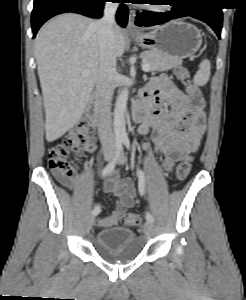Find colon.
I'll list each match as a JSON object with an SVG mask.
<instances>
[{
    "instance_id": "1",
    "label": "colon",
    "mask_w": 246,
    "mask_h": 300,
    "mask_svg": "<svg viewBox=\"0 0 246 300\" xmlns=\"http://www.w3.org/2000/svg\"><path fill=\"white\" fill-rule=\"evenodd\" d=\"M176 77L186 87L187 92L196 108L203 107V98L199 89L191 82L190 74L185 66H177L174 70ZM92 126L88 121H81L68 134L66 139L53 146L47 154L48 168L57 176L66 179L75 178L76 172L69 158L72 154L82 151L92 136ZM192 157L184 156L175 169V178L183 181L187 178L191 171ZM122 221L127 226L139 225L140 217L135 213H126L123 215Z\"/></svg>"
}]
</instances>
